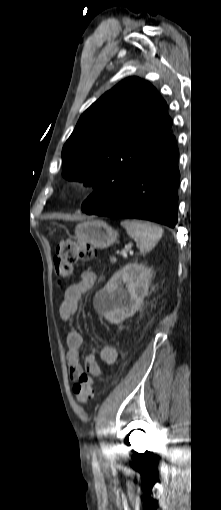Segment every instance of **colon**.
Listing matches in <instances>:
<instances>
[{
    "mask_svg": "<svg viewBox=\"0 0 221 510\" xmlns=\"http://www.w3.org/2000/svg\"><path fill=\"white\" fill-rule=\"evenodd\" d=\"M94 249L83 241H61L56 249L54 257V269L59 280L65 281L70 279L73 274L74 266L79 261H90L94 258ZM73 391L78 402L85 403L93 397V379L82 372L73 385Z\"/></svg>",
    "mask_w": 221,
    "mask_h": 510,
    "instance_id": "colon-1",
    "label": "colon"
}]
</instances>
